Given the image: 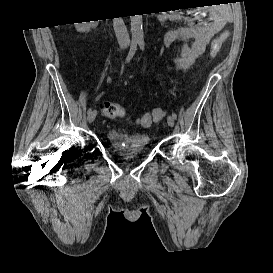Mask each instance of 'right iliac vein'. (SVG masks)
<instances>
[{
  "label": "right iliac vein",
  "mask_w": 273,
  "mask_h": 273,
  "mask_svg": "<svg viewBox=\"0 0 273 273\" xmlns=\"http://www.w3.org/2000/svg\"><path fill=\"white\" fill-rule=\"evenodd\" d=\"M96 115H97L96 110H92L90 113H88V116H87L88 123H92L95 120Z\"/></svg>",
  "instance_id": "right-iliac-vein-1"
}]
</instances>
